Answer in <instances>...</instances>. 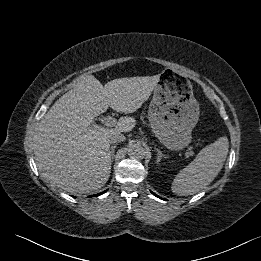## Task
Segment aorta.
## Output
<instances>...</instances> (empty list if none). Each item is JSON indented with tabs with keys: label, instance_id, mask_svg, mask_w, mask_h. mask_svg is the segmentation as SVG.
Returning a JSON list of instances; mask_svg holds the SVG:
<instances>
[{
	"label": "aorta",
	"instance_id": "obj_1",
	"mask_svg": "<svg viewBox=\"0 0 261 261\" xmlns=\"http://www.w3.org/2000/svg\"><path fill=\"white\" fill-rule=\"evenodd\" d=\"M128 155L132 159H142L145 156V149L141 143L136 142L129 146Z\"/></svg>",
	"mask_w": 261,
	"mask_h": 261
}]
</instances>
